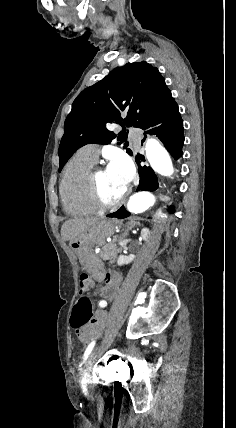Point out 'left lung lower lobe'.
Masks as SVG:
<instances>
[{"mask_svg":"<svg viewBox=\"0 0 236 428\" xmlns=\"http://www.w3.org/2000/svg\"><path fill=\"white\" fill-rule=\"evenodd\" d=\"M152 129L144 134H154L162 141L166 149L174 159L182 155L184 143L183 120L179 113V108L175 100L171 101L167 107L153 120L144 125L142 129ZM146 136L142 140L144 142ZM140 182L136 191H155L158 188V181L154 171L150 167H139ZM173 212V208H171ZM130 215L122 206L118 211L108 214L107 217L126 218Z\"/></svg>","mask_w":236,"mask_h":428,"instance_id":"left-lung-lower-lobe-1","label":"left lung lower lobe"}]
</instances>
